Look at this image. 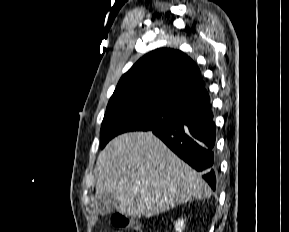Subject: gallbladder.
Masks as SVG:
<instances>
[{"label": "gallbladder", "mask_w": 289, "mask_h": 232, "mask_svg": "<svg viewBox=\"0 0 289 232\" xmlns=\"http://www.w3.org/2000/svg\"><path fill=\"white\" fill-rule=\"evenodd\" d=\"M98 211L101 215L110 214L114 210V199L111 194L96 198Z\"/></svg>", "instance_id": "gallbladder-1"}]
</instances>
